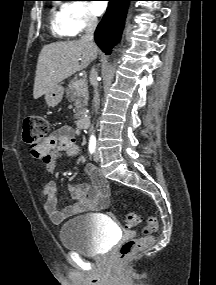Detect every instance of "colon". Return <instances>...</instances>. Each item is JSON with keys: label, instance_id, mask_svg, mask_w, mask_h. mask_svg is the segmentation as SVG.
<instances>
[{"label": "colon", "instance_id": "colon-1", "mask_svg": "<svg viewBox=\"0 0 216 285\" xmlns=\"http://www.w3.org/2000/svg\"><path fill=\"white\" fill-rule=\"evenodd\" d=\"M49 131L47 120L41 115L27 116L23 121L22 138L28 145L29 152L34 155H39V149L42 140L46 137ZM139 223V217L136 213H128L125 218L127 227L132 228ZM158 229V221L155 217L148 218L147 225L143 230V235L139 238L128 239L125 241L117 254L116 261L121 263L128 259L133 254L142 251L149 247L153 242V234Z\"/></svg>", "mask_w": 216, "mask_h": 285}]
</instances>
